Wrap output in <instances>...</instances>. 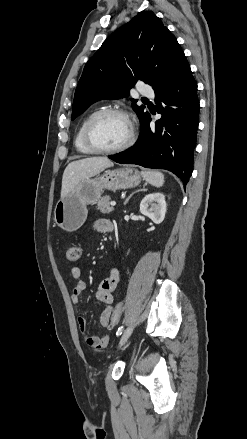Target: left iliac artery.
I'll return each instance as SVG.
<instances>
[{
	"mask_svg": "<svg viewBox=\"0 0 247 439\" xmlns=\"http://www.w3.org/2000/svg\"><path fill=\"white\" fill-rule=\"evenodd\" d=\"M122 331H123V326L119 327V329H118L116 335H117V336L121 335V334H122Z\"/></svg>",
	"mask_w": 247,
	"mask_h": 439,
	"instance_id": "1",
	"label": "left iliac artery"
}]
</instances>
